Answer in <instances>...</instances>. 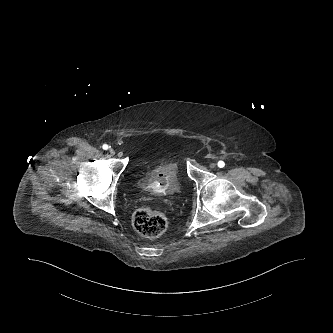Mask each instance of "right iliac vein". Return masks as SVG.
<instances>
[{"label":"right iliac vein","instance_id":"1","mask_svg":"<svg viewBox=\"0 0 333 333\" xmlns=\"http://www.w3.org/2000/svg\"><path fill=\"white\" fill-rule=\"evenodd\" d=\"M109 153H110L111 155H114V154H115V150L112 149V148H110V149H109Z\"/></svg>","mask_w":333,"mask_h":333}]
</instances>
